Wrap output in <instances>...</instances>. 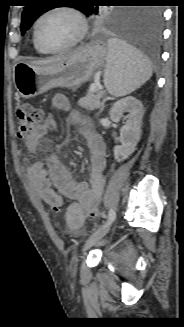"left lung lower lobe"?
<instances>
[{"instance_id":"obj_1","label":"left lung lower lobe","mask_w":184,"mask_h":327,"mask_svg":"<svg viewBox=\"0 0 184 327\" xmlns=\"http://www.w3.org/2000/svg\"><path fill=\"white\" fill-rule=\"evenodd\" d=\"M161 36L162 12L155 7L140 9L135 21L124 28L122 35L132 47L152 56L158 55Z\"/></svg>"}]
</instances>
